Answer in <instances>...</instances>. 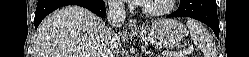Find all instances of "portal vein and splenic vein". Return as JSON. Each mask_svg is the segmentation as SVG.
Wrapping results in <instances>:
<instances>
[{"instance_id": "obj_1", "label": "portal vein and splenic vein", "mask_w": 249, "mask_h": 57, "mask_svg": "<svg viewBox=\"0 0 249 57\" xmlns=\"http://www.w3.org/2000/svg\"><path fill=\"white\" fill-rule=\"evenodd\" d=\"M190 51H191L190 48L184 49L183 52H178V53H177V52H174V53L170 54L169 57H183V56H185L186 54H188ZM156 56H157V57H161V55H156Z\"/></svg>"}]
</instances>
